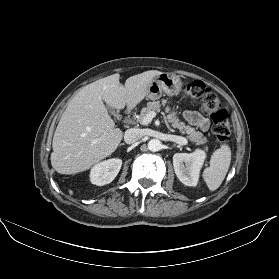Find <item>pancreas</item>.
Returning <instances> with one entry per match:
<instances>
[{
  "label": "pancreas",
  "instance_id": "cf45deb5",
  "mask_svg": "<svg viewBox=\"0 0 279 279\" xmlns=\"http://www.w3.org/2000/svg\"><path fill=\"white\" fill-rule=\"evenodd\" d=\"M166 104L167 100H162L161 103L159 101L148 102L147 106L142 108L140 116L138 117V121L142 123L143 118L146 116L147 113L151 111L159 112L161 110V105L165 107ZM165 113H167V122L170 123L173 128L178 129L181 133H186L187 138L190 141L195 142L196 145H203L207 142V139L201 132L195 131L194 128L186 126L184 122H181L179 120L177 112L174 108H171L169 105H167L165 107ZM205 150H208V147H205Z\"/></svg>",
  "mask_w": 279,
  "mask_h": 279
}]
</instances>
